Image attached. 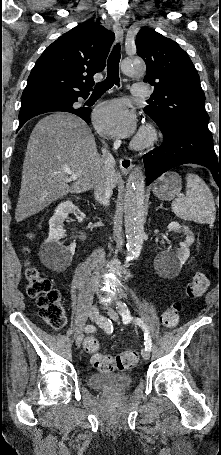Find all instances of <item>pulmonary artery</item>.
I'll return each instance as SVG.
<instances>
[{
	"label": "pulmonary artery",
	"mask_w": 221,
	"mask_h": 455,
	"mask_svg": "<svg viewBox=\"0 0 221 455\" xmlns=\"http://www.w3.org/2000/svg\"><path fill=\"white\" fill-rule=\"evenodd\" d=\"M131 93L134 96L146 97L150 95L151 90L147 84L135 83L131 88Z\"/></svg>",
	"instance_id": "e3ab8cb5"
}]
</instances>
